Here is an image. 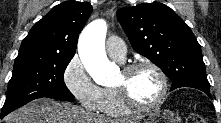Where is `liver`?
<instances>
[{"instance_id":"obj_1","label":"liver","mask_w":221,"mask_h":123,"mask_svg":"<svg viewBox=\"0 0 221 123\" xmlns=\"http://www.w3.org/2000/svg\"><path fill=\"white\" fill-rule=\"evenodd\" d=\"M6 123H133L96 116L69 103L42 98L34 100L5 117Z\"/></svg>"}]
</instances>
